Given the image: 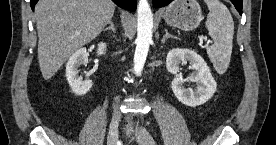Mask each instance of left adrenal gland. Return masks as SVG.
<instances>
[{"label":"left adrenal gland","mask_w":276,"mask_h":145,"mask_svg":"<svg viewBox=\"0 0 276 145\" xmlns=\"http://www.w3.org/2000/svg\"><path fill=\"white\" fill-rule=\"evenodd\" d=\"M169 38H173V39H177V40H179V38H178V37L173 36V35H170V34H169V32H168V30H167V29H165V35L163 36V38H162L161 42H162V43H165V41H166L167 39H169Z\"/></svg>","instance_id":"left-adrenal-gland-1"}]
</instances>
